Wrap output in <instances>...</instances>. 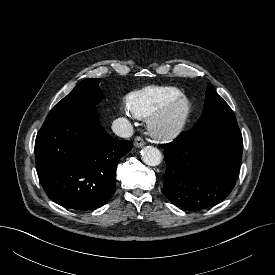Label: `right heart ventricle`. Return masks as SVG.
<instances>
[{
	"label": "right heart ventricle",
	"mask_w": 275,
	"mask_h": 275,
	"mask_svg": "<svg viewBox=\"0 0 275 275\" xmlns=\"http://www.w3.org/2000/svg\"><path fill=\"white\" fill-rule=\"evenodd\" d=\"M181 94V90L174 86H147L131 93L127 106L136 117L147 118Z\"/></svg>",
	"instance_id": "right-heart-ventricle-1"
}]
</instances>
